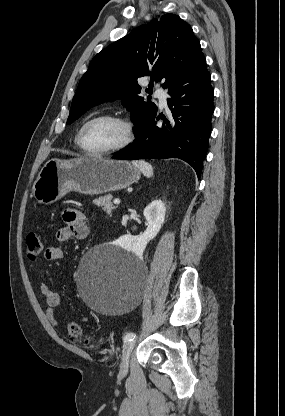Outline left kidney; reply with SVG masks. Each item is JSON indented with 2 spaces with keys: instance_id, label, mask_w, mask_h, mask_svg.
<instances>
[{
  "instance_id": "obj_1",
  "label": "left kidney",
  "mask_w": 285,
  "mask_h": 416,
  "mask_svg": "<svg viewBox=\"0 0 285 416\" xmlns=\"http://www.w3.org/2000/svg\"><path fill=\"white\" fill-rule=\"evenodd\" d=\"M147 222L148 228H146L144 234L140 236H123L122 244L127 246L133 252H144L148 242L154 240L158 232L164 224L166 208L162 200H154L149 206H146L143 212Z\"/></svg>"
}]
</instances>
